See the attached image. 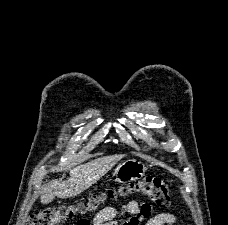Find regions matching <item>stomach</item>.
<instances>
[{"label": "stomach", "instance_id": "stomach-1", "mask_svg": "<svg viewBox=\"0 0 228 225\" xmlns=\"http://www.w3.org/2000/svg\"><path fill=\"white\" fill-rule=\"evenodd\" d=\"M146 165L136 161V159H129L118 165L115 173V181L117 183H131V181H138L142 179L146 173Z\"/></svg>", "mask_w": 228, "mask_h": 225}]
</instances>
